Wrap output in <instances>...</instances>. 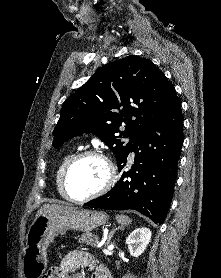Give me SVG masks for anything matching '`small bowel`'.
Listing matches in <instances>:
<instances>
[{
  "label": "small bowel",
  "mask_w": 221,
  "mask_h": 278,
  "mask_svg": "<svg viewBox=\"0 0 221 278\" xmlns=\"http://www.w3.org/2000/svg\"><path fill=\"white\" fill-rule=\"evenodd\" d=\"M56 268V276L48 273L44 278H81V270H95V259L87 252L74 250L66 254ZM92 278L110 277L105 269L99 268L94 271Z\"/></svg>",
  "instance_id": "small-bowel-1"
}]
</instances>
